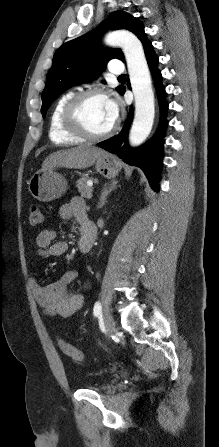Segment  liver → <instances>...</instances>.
<instances>
[{
    "instance_id": "1",
    "label": "liver",
    "mask_w": 219,
    "mask_h": 447,
    "mask_svg": "<svg viewBox=\"0 0 219 447\" xmlns=\"http://www.w3.org/2000/svg\"><path fill=\"white\" fill-rule=\"evenodd\" d=\"M105 151L92 146L80 145L50 154L43 162L42 169L66 167L69 169H85L92 166Z\"/></svg>"
}]
</instances>
